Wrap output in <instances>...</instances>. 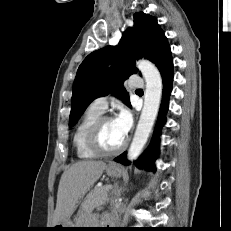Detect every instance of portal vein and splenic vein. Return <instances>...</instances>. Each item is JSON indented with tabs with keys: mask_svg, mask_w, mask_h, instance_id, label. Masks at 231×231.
I'll return each mask as SVG.
<instances>
[{
	"mask_svg": "<svg viewBox=\"0 0 231 231\" xmlns=\"http://www.w3.org/2000/svg\"><path fill=\"white\" fill-rule=\"evenodd\" d=\"M106 189L109 191V190L112 189V186H111V185H107V186H106Z\"/></svg>",
	"mask_w": 231,
	"mask_h": 231,
	"instance_id": "portal-vein-and-splenic-vein-1",
	"label": "portal vein and splenic vein"
}]
</instances>
